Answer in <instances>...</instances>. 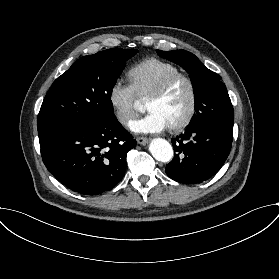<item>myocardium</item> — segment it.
Listing matches in <instances>:
<instances>
[{"mask_svg": "<svg viewBox=\"0 0 279 279\" xmlns=\"http://www.w3.org/2000/svg\"><path fill=\"white\" fill-rule=\"evenodd\" d=\"M185 81L189 88H190V105L186 116L183 120L177 124L170 125L169 128L172 131H181L185 129L193 120L196 111H197V104H198V92L197 87L194 80L185 73H178L168 77L164 80L159 87L150 95L148 96V101H155L164 97L170 89L175 86L178 82Z\"/></svg>", "mask_w": 279, "mask_h": 279, "instance_id": "1", "label": "myocardium"}]
</instances>
